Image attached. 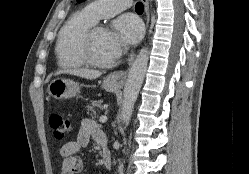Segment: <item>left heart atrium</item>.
Here are the masks:
<instances>
[{
	"instance_id": "39dd6f15",
	"label": "left heart atrium",
	"mask_w": 249,
	"mask_h": 174,
	"mask_svg": "<svg viewBox=\"0 0 249 174\" xmlns=\"http://www.w3.org/2000/svg\"><path fill=\"white\" fill-rule=\"evenodd\" d=\"M142 33L140 23L133 17L124 16L119 18L110 32L113 55L118 58L126 44H132L139 40Z\"/></svg>"
}]
</instances>
